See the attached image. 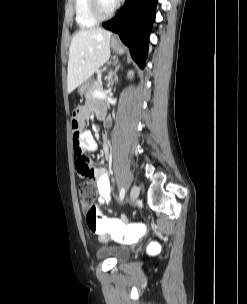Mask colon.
Instances as JSON below:
<instances>
[{
	"label": "colon",
	"instance_id": "5ec220e1",
	"mask_svg": "<svg viewBox=\"0 0 247 304\" xmlns=\"http://www.w3.org/2000/svg\"><path fill=\"white\" fill-rule=\"evenodd\" d=\"M80 120V119H72ZM76 153V152H75ZM78 165L81 168H86L87 158L78 159ZM82 181L79 185L78 196L82 208L86 212V222L91 232L107 238L109 235L112 238H117L119 246H136V239L127 238H145V224H120L116 220L107 219L104 217L96 205L94 204L95 187L90 180V177ZM163 246L162 241H147L146 253H153L151 256L154 258V253H161Z\"/></svg>",
	"mask_w": 247,
	"mask_h": 304
}]
</instances>
